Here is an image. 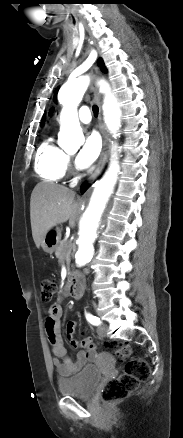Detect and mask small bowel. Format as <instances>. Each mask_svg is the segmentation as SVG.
I'll use <instances>...</instances> for the list:
<instances>
[{"instance_id": "small-bowel-1", "label": "small bowel", "mask_w": 183, "mask_h": 438, "mask_svg": "<svg viewBox=\"0 0 183 438\" xmlns=\"http://www.w3.org/2000/svg\"><path fill=\"white\" fill-rule=\"evenodd\" d=\"M61 316L62 307L60 304H52L48 311L45 321V331L48 341L51 345L52 354L55 356L53 359V365L57 372L61 376H70L78 372L87 363L92 361L96 356V346L90 338H85L78 341L74 337L75 322L69 321L65 327V335L74 348H80L76 359L72 360L64 347L63 339L61 336Z\"/></svg>"}]
</instances>
